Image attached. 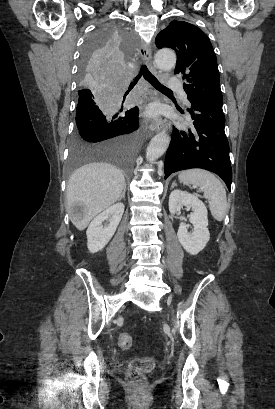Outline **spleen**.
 Returning a JSON list of instances; mask_svg holds the SVG:
<instances>
[{"label": "spleen", "mask_w": 275, "mask_h": 409, "mask_svg": "<svg viewBox=\"0 0 275 409\" xmlns=\"http://www.w3.org/2000/svg\"><path fill=\"white\" fill-rule=\"evenodd\" d=\"M180 182L201 186L205 198L209 200V209L216 221H223L227 209L226 190L219 178H216L209 170L191 168L183 170L178 176Z\"/></svg>", "instance_id": "obj_1"}]
</instances>
